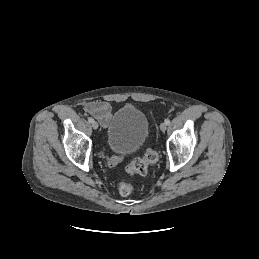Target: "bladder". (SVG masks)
Segmentation results:
<instances>
[{"label": "bladder", "instance_id": "obj_1", "mask_svg": "<svg viewBox=\"0 0 259 259\" xmlns=\"http://www.w3.org/2000/svg\"><path fill=\"white\" fill-rule=\"evenodd\" d=\"M149 135V122L139 109L126 105L113 115L106 133V143L110 150L121 154L138 151Z\"/></svg>", "mask_w": 259, "mask_h": 259}]
</instances>
